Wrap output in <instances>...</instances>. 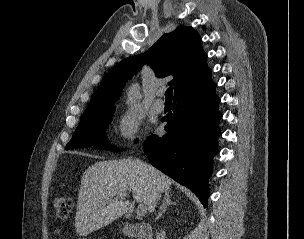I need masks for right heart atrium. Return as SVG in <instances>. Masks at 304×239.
<instances>
[{
  "mask_svg": "<svg viewBox=\"0 0 304 239\" xmlns=\"http://www.w3.org/2000/svg\"><path fill=\"white\" fill-rule=\"evenodd\" d=\"M140 128V114L134 109H126L117 119L115 134L121 142L131 143L138 138Z\"/></svg>",
  "mask_w": 304,
  "mask_h": 239,
  "instance_id": "right-heart-atrium-1",
  "label": "right heart atrium"
}]
</instances>
